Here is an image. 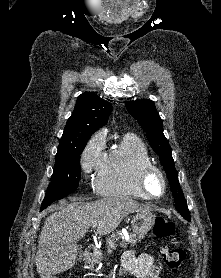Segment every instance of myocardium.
Listing matches in <instances>:
<instances>
[{"mask_svg": "<svg viewBox=\"0 0 221 278\" xmlns=\"http://www.w3.org/2000/svg\"><path fill=\"white\" fill-rule=\"evenodd\" d=\"M157 179L160 183V192L153 193L151 190V182ZM135 180L137 187L147 199L156 200L161 198L166 191V179L159 167L153 163H145L140 165L136 170Z\"/></svg>", "mask_w": 221, "mask_h": 278, "instance_id": "1", "label": "myocardium"}]
</instances>
